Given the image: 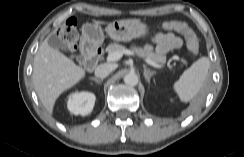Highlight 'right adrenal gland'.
<instances>
[{
  "instance_id": "1",
  "label": "right adrenal gland",
  "mask_w": 244,
  "mask_h": 157,
  "mask_svg": "<svg viewBox=\"0 0 244 157\" xmlns=\"http://www.w3.org/2000/svg\"><path fill=\"white\" fill-rule=\"evenodd\" d=\"M90 79L97 82V83H101L103 81V79H98V78H94V77H92Z\"/></svg>"
}]
</instances>
